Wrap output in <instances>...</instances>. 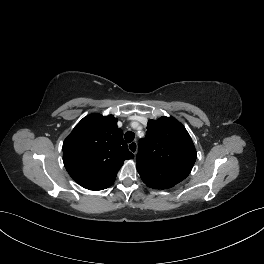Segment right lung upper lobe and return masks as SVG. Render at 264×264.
Listing matches in <instances>:
<instances>
[{"instance_id":"obj_1","label":"right lung upper lobe","mask_w":264,"mask_h":264,"mask_svg":"<svg viewBox=\"0 0 264 264\" xmlns=\"http://www.w3.org/2000/svg\"><path fill=\"white\" fill-rule=\"evenodd\" d=\"M133 158L113 115L84 117L63 143L66 170L89 190L110 187L124 161Z\"/></svg>"}]
</instances>
